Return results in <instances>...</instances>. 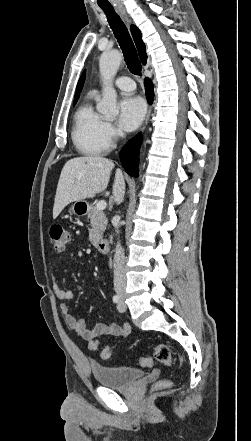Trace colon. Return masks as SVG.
I'll return each instance as SVG.
<instances>
[{
  "instance_id": "5ec220e1",
  "label": "colon",
  "mask_w": 251,
  "mask_h": 441,
  "mask_svg": "<svg viewBox=\"0 0 251 441\" xmlns=\"http://www.w3.org/2000/svg\"><path fill=\"white\" fill-rule=\"evenodd\" d=\"M49 236L54 249L56 251H63L66 248L67 244L70 242L72 235L71 232L65 227L61 225H54L50 229ZM89 349L91 351L101 350V357L105 360L110 359L112 356L111 351L106 347H102L100 342L97 340H93L89 343ZM153 351L154 359L156 361L168 367H172L174 365V360L172 358L169 348L166 345L157 344L154 346ZM138 362L141 366L144 367H150L153 364V361L150 358H140ZM172 383V379H163L154 384V389H166L170 387Z\"/></svg>"
}]
</instances>
